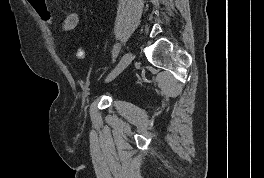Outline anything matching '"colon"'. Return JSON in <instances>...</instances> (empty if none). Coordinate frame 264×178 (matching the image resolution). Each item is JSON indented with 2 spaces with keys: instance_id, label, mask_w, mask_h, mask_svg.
Returning <instances> with one entry per match:
<instances>
[{
  "instance_id": "1",
  "label": "colon",
  "mask_w": 264,
  "mask_h": 178,
  "mask_svg": "<svg viewBox=\"0 0 264 178\" xmlns=\"http://www.w3.org/2000/svg\"><path fill=\"white\" fill-rule=\"evenodd\" d=\"M30 6L34 9L37 15L46 23L55 26L56 20L51 12L46 0H27ZM75 56L77 59H84L86 56V51L83 47L76 49Z\"/></svg>"
}]
</instances>
